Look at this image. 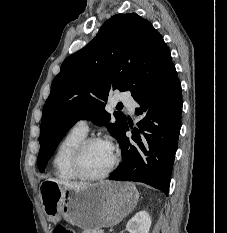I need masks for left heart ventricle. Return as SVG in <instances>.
<instances>
[{
    "label": "left heart ventricle",
    "mask_w": 227,
    "mask_h": 233,
    "mask_svg": "<svg viewBox=\"0 0 227 233\" xmlns=\"http://www.w3.org/2000/svg\"><path fill=\"white\" fill-rule=\"evenodd\" d=\"M111 146L104 142L91 144L82 158V167L89 174L104 172L112 162Z\"/></svg>",
    "instance_id": "1"
}]
</instances>
